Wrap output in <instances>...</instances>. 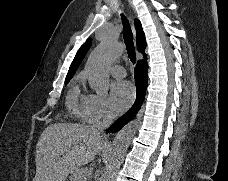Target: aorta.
<instances>
[{
  "label": "aorta",
  "mask_w": 228,
  "mask_h": 181,
  "mask_svg": "<svg viewBox=\"0 0 228 181\" xmlns=\"http://www.w3.org/2000/svg\"><path fill=\"white\" fill-rule=\"evenodd\" d=\"M123 53V46L111 36L102 39L92 51L85 66L91 88L99 95H106L109 89V67ZM139 123L133 120L123 127L115 139L107 159L101 181H112L116 169L123 161L128 146L134 137Z\"/></svg>",
  "instance_id": "1"
}]
</instances>
